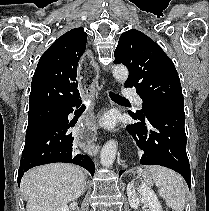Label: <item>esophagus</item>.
Masks as SVG:
<instances>
[{
    "label": "esophagus",
    "instance_id": "1",
    "mask_svg": "<svg viewBox=\"0 0 209 211\" xmlns=\"http://www.w3.org/2000/svg\"><path fill=\"white\" fill-rule=\"evenodd\" d=\"M77 81L79 82L80 94H94L93 82H96V70H94L93 56H81V64H78ZM103 87V86H102ZM86 106H93V101H86ZM85 113H92V108H85ZM95 128L93 119H80L78 133H74V145L78 149H93L95 145Z\"/></svg>",
    "mask_w": 209,
    "mask_h": 211
}]
</instances>
